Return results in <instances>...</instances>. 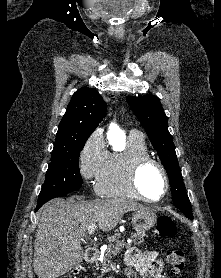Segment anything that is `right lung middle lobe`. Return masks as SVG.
I'll return each instance as SVG.
<instances>
[{
  "instance_id": "1",
  "label": "right lung middle lobe",
  "mask_w": 221,
  "mask_h": 278,
  "mask_svg": "<svg viewBox=\"0 0 221 278\" xmlns=\"http://www.w3.org/2000/svg\"><path fill=\"white\" fill-rule=\"evenodd\" d=\"M84 145L85 142H82L73 146L53 149L51 163L38 197L39 205L81 187L79 156Z\"/></svg>"
}]
</instances>
